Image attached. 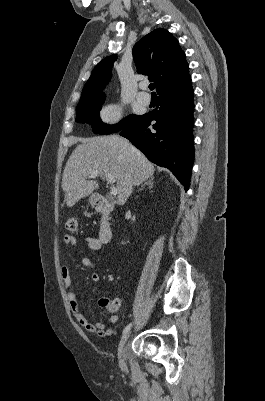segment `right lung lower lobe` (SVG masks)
<instances>
[{
  "instance_id": "obj_1",
  "label": "right lung lower lobe",
  "mask_w": 265,
  "mask_h": 401,
  "mask_svg": "<svg viewBox=\"0 0 265 401\" xmlns=\"http://www.w3.org/2000/svg\"><path fill=\"white\" fill-rule=\"evenodd\" d=\"M158 106L142 115L137 123L121 130L120 135L129 139L149 160L168 168L187 191L194 161L191 81L173 91L160 93Z\"/></svg>"
}]
</instances>
